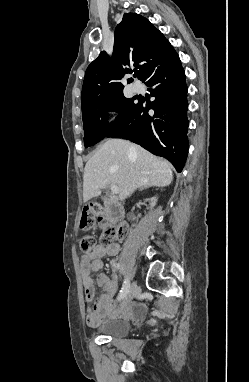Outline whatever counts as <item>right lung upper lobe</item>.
I'll list each match as a JSON object with an SVG mask.
<instances>
[{"instance_id": "obj_1", "label": "right lung upper lobe", "mask_w": 249, "mask_h": 382, "mask_svg": "<svg viewBox=\"0 0 249 382\" xmlns=\"http://www.w3.org/2000/svg\"><path fill=\"white\" fill-rule=\"evenodd\" d=\"M114 38L112 59L103 51L86 70L81 94L82 108L95 100L123 94L124 86L117 80L125 73H132L127 68L130 63L139 69V77L145 81L151 69L176 54L163 34L149 20L135 13L123 15Z\"/></svg>"}]
</instances>
